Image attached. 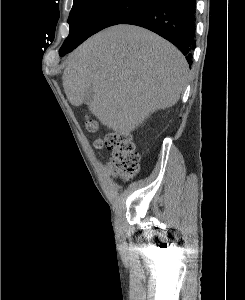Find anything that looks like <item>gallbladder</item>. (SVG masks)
Here are the masks:
<instances>
[{
    "label": "gallbladder",
    "mask_w": 245,
    "mask_h": 300,
    "mask_svg": "<svg viewBox=\"0 0 245 300\" xmlns=\"http://www.w3.org/2000/svg\"><path fill=\"white\" fill-rule=\"evenodd\" d=\"M93 91L89 89L85 94V103H88L92 100Z\"/></svg>",
    "instance_id": "bac80fb5"
}]
</instances>
